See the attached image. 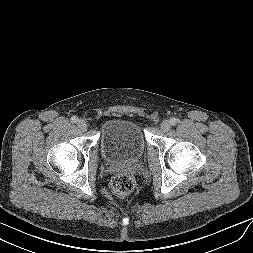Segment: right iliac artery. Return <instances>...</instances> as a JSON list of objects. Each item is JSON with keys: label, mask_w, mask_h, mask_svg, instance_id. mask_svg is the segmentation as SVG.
<instances>
[{"label": "right iliac artery", "mask_w": 253, "mask_h": 253, "mask_svg": "<svg viewBox=\"0 0 253 253\" xmlns=\"http://www.w3.org/2000/svg\"><path fill=\"white\" fill-rule=\"evenodd\" d=\"M71 122L72 123H77L78 122V118L76 116L71 117Z\"/></svg>", "instance_id": "obj_1"}]
</instances>
